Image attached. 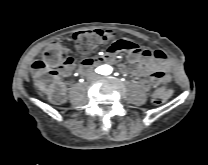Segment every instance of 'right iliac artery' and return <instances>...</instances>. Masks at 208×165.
Here are the masks:
<instances>
[{"label": "right iliac artery", "instance_id": "1", "mask_svg": "<svg viewBox=\"0 0 208 165\" xmlns=\"http://www.w3.org/2000/svg\"><path fill=\"white\" fill-rule=\"evenodd\" d=\"M96 72H97V73H101L100 68H97V69H96Z\"/></svg>", "mask_w": 208, "mask_h": 165}]
</instances>
